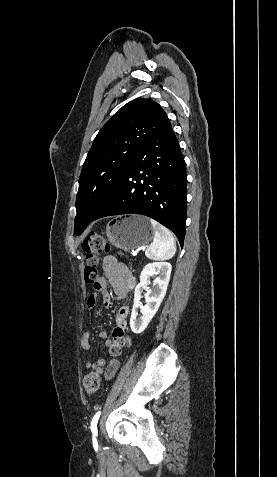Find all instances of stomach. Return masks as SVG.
<instances>
[{
    "label": "stomach",
    "instance_id": "obj_1",
    "mask_svg": "<svg viewBox=\"0 0 277 477\" xmlns=\"http://www.w3.org/2000/svg\"><path fill=\"white\" fill-rule=\"evenodd\" d=\"M106 235L114 247L130 251L147 245L153 238L154 230L145 216H120L109 221Z\"/></svg>",
    "mask_w": 277,
    "mask_h": 477
}]
</instances>
